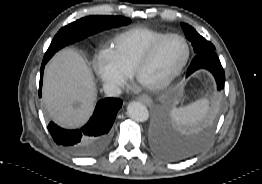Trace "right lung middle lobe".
Listing matches in <instances>:
<instances>
[{
	"label": "right lung middle lobe",
	"mask_w": 262,
	"mask_h": 184,
	"mask_svg": "<svg viewBox=\"0 0 262 184\" xmlns=\"http://www.w3.org/2000/svg\"><path fill=\"white\" fill-rule=\"evenodd\" d=\"M130 22L131 20L126 17L105 15H92L72 22L71 24L61 28L55 35L44 55L43 62L46 63L55 54V52L66 45L72 44L105 29L127 25Z\"/></svg>",
	"instance_id": "right-lung-middle-lobe-1"
}]
</instances>
